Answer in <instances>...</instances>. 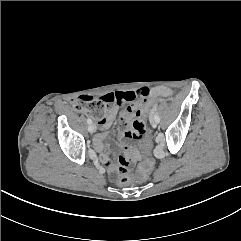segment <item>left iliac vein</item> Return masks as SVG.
Segmentation results:
<instances>
[{
	"label": "left iliac vein",
	"mask_w": 241,
	"mask_h": 241,
	"mask_svg": "<svg viewBox=\"0 0 241 241\" xmlns=\"http://www.w3.org/2000/svg\"><path fill=\"white\" fill-rule=\"evenodd\" d=\"M157 124H158V122H157L155 119H152V120H151V125H152V127L156 128V127H157Z\"/></svg>",
	"instance_id": "1"
}]
</instances>
